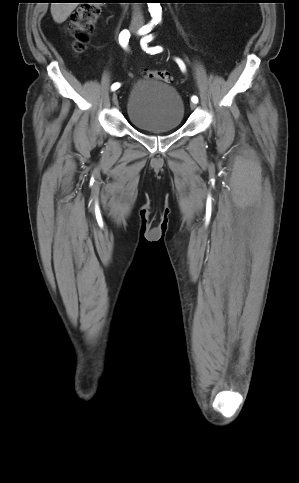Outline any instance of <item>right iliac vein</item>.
<instances>
[{
    "mask_svg": "<svg viewBox=\"0 0 299 483\" xmlns=\"http://www.w3.org/2000/svg\"><path fill=\"white\" fill-rule=\"evenodd\" d=\"M112 100H113V103L115 105H118V94H117V92L113 93Z\"/></svg>",
    "mask_w": 299,
    "mask_h": 483,
    "instance_id": "obj_1",
    "label": "right iliac vein"
}]
</instances>
